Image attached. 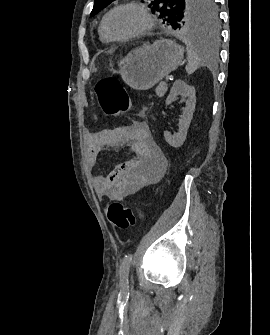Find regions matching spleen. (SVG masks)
Listing matches in <instances>:
<instances>
[{
  "label": "spleen",
  "mask_w": 270,
  "mask_h": 335,
  "mask_svg": "<svg viewBox=\"0 0 270 335\" xmlns=\"http://www.w3.org/2000/svg\"><path fill=\"white\" fill-rule=\"evenodd\" d=\"M180 40L187 46L189 64L186 66V72H188V74H193L201 62H212L213 56L209 54L207 46L203 48L201 42L200 44H192V42H188L184 36H180Z\"/></svg>",
  "instance_id": "spleen-1"
}]
</instances>
